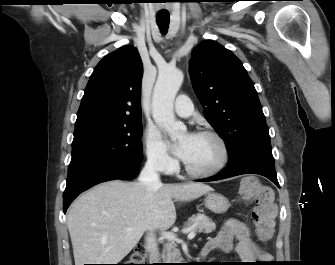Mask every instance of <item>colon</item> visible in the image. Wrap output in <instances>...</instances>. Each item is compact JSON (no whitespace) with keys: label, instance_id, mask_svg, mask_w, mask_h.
I'll return each mask as SVG.
<instances>
[{"label":"colon","instance_id":"1","mask_svg":"<svg viewBox=\"0 0 335 265\" xmlns=\"http://www.w3.org/2000/svg\"><path fill=\"white\" fill-rule=\"evenodd\" d=\"M239 197L244 202H254L253 220L256 233L263 242L269 241L274 233L277 205L274 191L271 187L263 185L257 177H245L239 188ZM146 251L143 246H138L129 258L130 264L145 265Z\"/></svg>","mask_w":335,"mask_h":265}]
</instances>
